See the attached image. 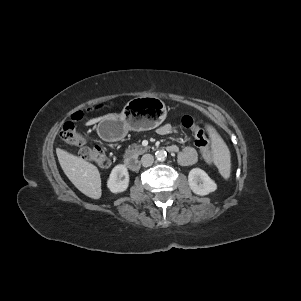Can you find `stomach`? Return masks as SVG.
<instances>
[{"mask_svg":"<svg viewBox=\"0 0 301 301\" xmlns=\"http://www.w3.org/2000/svg\"><path fill=\"white\" fill-rule=\"evenodd\" d=\"M165 118L166 108L159 98L136 97L125 105L121 114L101 121L98 133L108 141H117L129 130H151L160 125Z\"/></svg>","mask_w":301,"mask_h":301,"instance_id":"1","label":"stomach"}]
</instances>
